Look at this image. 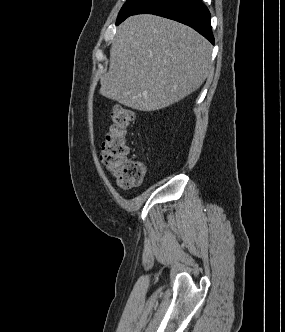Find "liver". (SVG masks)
<instances>
[{
  "mask_svg": "<svg viewBox=\"0 0 285 332\" xmlns=\"http://www.w3.org/2000/svg\"><path fill=\"white\" fill-rule=\"evenodd\" d=\"M211 44L192 28L135 15L117 28L102 96L139 111L166 108L198 89L211 73Z\"/></svg>",
  "mask_w": 285,
  "mask_h": 332,
  "instance_id": "1",
  "label": "liver"
}]
</instances>
